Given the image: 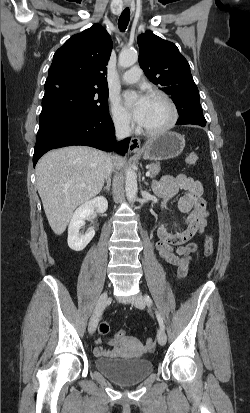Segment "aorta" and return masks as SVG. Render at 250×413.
<instances>
[{
  "mask_svg": "<svg viewBox=\"0 0 250 413\" xmlns=\"http://www.w3.org/2000/svg\"><path fill=\"white\" fill-rule=\"evenodd\" d=\"M138 60V54L135 50H125L119 55L118 65L123 68H128L134 65ZM125 191L130 202L137 199V176L135 171L130 167L125 173Z\"/></svg>",
  "mask_w": 250,
  "mask_h": 413,
  "instance_id": "762f6f07",
  "label": "aorta"
}]
</instances>
